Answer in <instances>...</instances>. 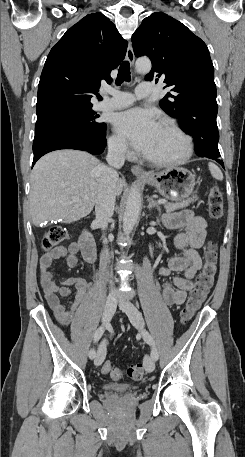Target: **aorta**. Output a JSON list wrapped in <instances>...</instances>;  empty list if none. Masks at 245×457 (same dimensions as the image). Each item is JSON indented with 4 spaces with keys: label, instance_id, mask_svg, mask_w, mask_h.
Wrapping results in <instances>:
<instances>
[{
    "label": "aorta",
    "instance_id": "1",
    "mask_svg": "<svg viewBox=\"0 0 245 457\" xmlns=\"http://www.w3.org/2000/svg\"><path fill=\"white\" fill-rule=\"evenodd\" d=\"M135 69L138 73H148L151 70V62L148 58L138 59L135 63ZM141 208V193L135 185L131 188L126 201L125 212L123 216V231L129 234L139 217Z\"/></svg>",
    "mask_w": 245,
    "mask_h": 457
}]
</instances>
